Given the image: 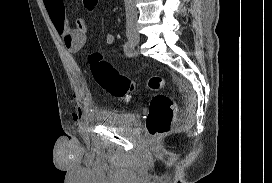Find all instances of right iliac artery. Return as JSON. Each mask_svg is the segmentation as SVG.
<instances>
[{"instance_id": "1", "label": "right iliac artery", "mask_w": 272, "mask_h": 183, "mask_svg": "<svg viewBox=\"0 0 272 183\" xmlns=\"http://www.w3.org/2000/svg\"><path fill=\"white\" fill-rule=\"evenodd\" d=\"M124 52L128 57H132L134 55V46L130 41H127L124 44Z\"/></svg>"}]
</instances>
